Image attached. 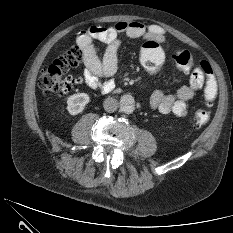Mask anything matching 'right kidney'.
I'll list each match as a JSON object with an SVG mask.
<instances>
[{"instance_id": "obj_1", "label": "right kidney", "mask_w": 233, "mask_h": 233, "mask_svg": "<svg viewBox=\"0 0 233 233\" xmlns=\"http://www.w3.org/2000/svg\"><path fill=\"white\" fill-rule=\"evenodd\" d=\"M89 101L90 97L86 93L73 94L67 100V110L71 115H77L84 110Z\"/></svg>"}]
</instances>
